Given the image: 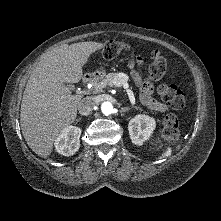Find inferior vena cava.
I'll use <instances>...</instances> for the list:
<instances>
[{
	"label": "inferior vena cava",
	"instance_id": "obj_1",
	"mask_svg": "<svg viewBox=\"0 0 221 221\" xmlns=\"http://www.w3.org/2000/svg\"><path fill=\"white\" fill-rule=\"evenodd\" d=\"M96 106V101L93 97H85L78 104V111L81 115H88Z\"/></svg>",
	"mask_w": 221,
	"mask_h": 221
}]
</instances>
